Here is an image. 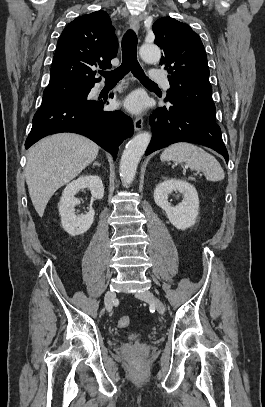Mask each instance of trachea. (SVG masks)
Returning <instances> with one entry per match:
<instances>
[{
	"label": "trachea",
	"mask_w": 265,
	"mask_h": 407,
	"mask_svg": "<svg viewBox=\"0 0 265 407\" xmlns=\"http://www.w3.org/2000/svg\"><path fill=\"white\" fill-rule=\"evenodd\" d=\"M137 36L133 30H128L122 39V63L113 71H100V74L108 81H119L130 71L145 85L157 86L144 73L137 60Z\"/></svg>",
	"instance_id": "1"
}]
</instances>
